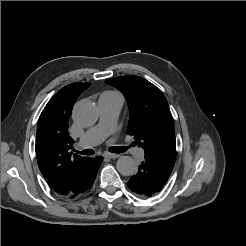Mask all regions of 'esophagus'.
I'll list each match as a JSON object with an SVG mask.
<instances>
[{"mask_svg":"<svg viewBox=\"0 0 246 246\" xmlns=\"http://www.w3.org/2000/svg\"><path fill=\"white\" fill-rule=\"evenodd\" d=\"M119 156H120L119 154H113L109 152L104 153V157L109 159H115L118 158Z\"/></svg>","mask_w":246,"mask_h":246,"instance_id":"1","label":"esophagus"}]
</instances>
